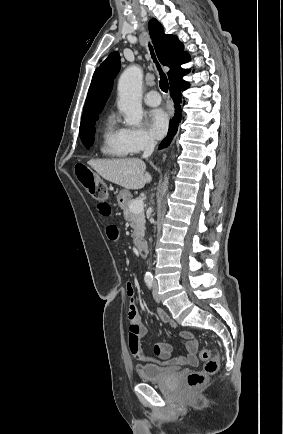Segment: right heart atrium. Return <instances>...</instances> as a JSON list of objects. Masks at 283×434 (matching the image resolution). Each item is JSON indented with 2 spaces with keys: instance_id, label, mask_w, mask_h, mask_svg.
Instances as JSON below:
<instances>
[{
  "instance_id": "d8ad5b80",
  "label": "right heart atrium",
  "mask_w": 283,
  "mask_h": 434,
  "mask_svg": "<svg viewBox=\"0 0 283 434\" xmlns=\"http://www.w3.org/2000/svg\"><path fill=\"white\" fill-rule=\"evenodd\" d=\"M125 145L131 154L140 153L154 146L155 141L149 133L141 127L125 128L123 130Z\"/></svg>"
}]
</instances>
